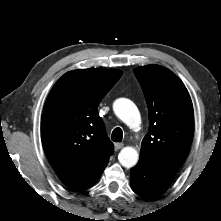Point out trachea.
<instances>
[{
  "label": "trachea",
  "mask_w": 221,
  "mask_h": 221,
  "mask_svg": "<svg viewBox=\"0 0 221 221\" xmlns=\"http://www.w3.org/2000/svg\"><path fill=\"white\" fill-rule=\"evenodd\" d=\"M123 138V132L122 129L117 127L113 130L112 135H111V139L114 142H121Z\"/></svg>",
  "instance_id": "1"
}]
</instances>
